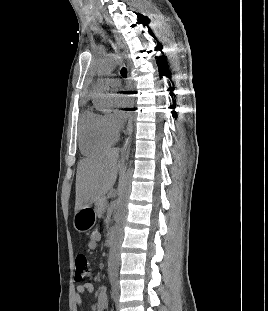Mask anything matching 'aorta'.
<instances>
[{
  "instance_id": "1",
  "label": "aorta",
  "mask_w": 268,
  "mask_h": 311,
  "mask_svg": "<svg viewBox=\"0 0 268 311\" xmlns=\"http://www.w3.org/2000/svg\"><path fill=\"white\" fill-rule=\"evenodd\" d=\"M119 62L120 60L118 57L110 56L97 63V65H95L94 67V71L99 75L110 74L116 70ZM95 90L98 97V99L96 100L97 104H100L102 106L107 105L109 100L107 89L98 83ZM131 180L132 167L130 165L129 168L121 176L118 187L119 197L117 200L115 226L112 234V243L108 257V271L110 276L113 278L117 276L118 272L119 251L123 240V230L126 221L129 195L131 192Z\"/></svg>"
}]
</instances>
